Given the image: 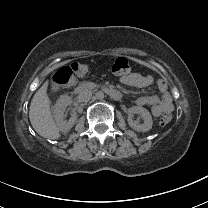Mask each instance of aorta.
Instances as JSON below:
<instances>
[{
	"label": "aorta",
	"mask_w": 208,
	"mask_h": 208,
	"mask_svg": "<svg viewBox=\"0 0 208 208\" xmlns=\"http://www.w3.org/2000/svg\"><path fill=\"white\" fill-rule=\"evenodd\" d=\"M96 98L97 99H99V100H102L103 98H104V93L103 92H98L97 94H96Z\"/></svg>",
	"instance_id": "obj_1"
}]
</instances>
